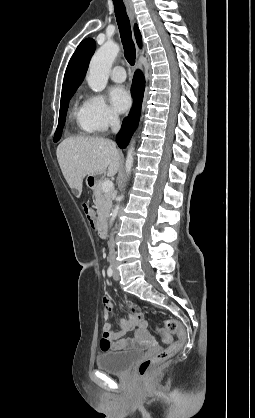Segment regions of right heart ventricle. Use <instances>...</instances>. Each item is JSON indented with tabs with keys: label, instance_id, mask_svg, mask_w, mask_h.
<instances>
[{
	"label": "right heart ventricle",
	"instance_id": "1",
	"mask_svg": "<svg viewBox=\"0 0 255 418\" xmlns=\"http://www.w3.org/2000/svg\"><path fill=\"white\" fill-rule=\"evenodd\" d=\"M70 117L74 121L79 131L83 133L91 132V130L87 127L86 122H85L83 104L82 105L76 104L70 112Z\"/></svg>",
	"mask_w": 255,
	"mask_h": 418
}]
</instances>
